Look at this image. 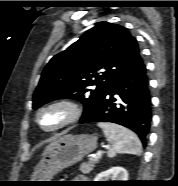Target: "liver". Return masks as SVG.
Listing matches in <instances>:
<instances>
[{"mask_svg": "<svg viewBox=\"0 0 178 186\" xmlns=\"http://www.w3.org/2000/svg\"><path fill=\"white\" fill-rule=\"evenodd\" d=\"M58 141V139L54 140L52 143H50L44 150L43 156L55 145V143Z\"/></svg>", "mask_w": 178, "mask_h": 186, "instance_id": "6515ba94", "label": "liver"}]
</instances>
